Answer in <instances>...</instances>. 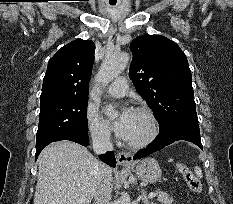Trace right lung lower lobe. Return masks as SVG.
<instances>
[{
	"label": "right lung lower lobe",
	"mask_w": 233,
	"mask_h": 204,
	"mask_svg": "<svg viewBox=\"0 0 233 204\" xmlns=\"http://www.w3.org/2000/svg\"><path fill=\"white\" fill-rule=\"evenodd\" d=\"M60 140H70V141L79 143V144H81L83 146L89 145V136L87 134H79V133L65 134V135H61L60 137H57L56 139H54L51 142L60 141ZM51 142L36 146L35 159H37V156L40 154L42 149L45 146H47L48 144H50ZM100 159L103 162L110 165L111 167L116 166V159H115V156H114V154L112 152H107L105 155H101Z\"/></svg>",
	"instance_id": "98d812e1"
}]
</instances>
